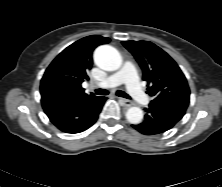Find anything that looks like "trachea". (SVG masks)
I'll return each mask as SVG.
<instances>
[{
	"label": "trachea",
	"mask_w": 222,
	"mask_h": 187,
	"mask_svg": "<svg viewBox=\"0 0 222 187\" xmlns=\"http://www.w3.org/2000/svg\"><path fill=\"white\" fill-rule=\"evenodd\" d=\"M95 92H96L97 95H107L109 93L108 90H106V89H96ZM116 94L119 97L131 99V97L128 94H126L125 92H123L121 90H118L116 92Z\"/></svg>",
	"instance_id": "trachea-1"
}]
</instances>
